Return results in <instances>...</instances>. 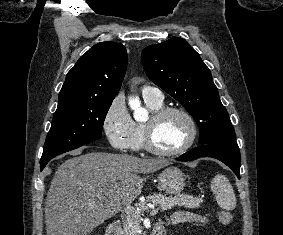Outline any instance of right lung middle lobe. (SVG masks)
<instances>
[{
	"label": "right lung middle lobe",
	"mask_w": 283,
	"mask_h": 235,
	"mask_svg": "<svg viewBox=\"0 0 283 235\" xmlns=\"http://www.w3.org/2000/svg\"><path fill=\"white\" fill-rule=\"evenodd\" d=\"M112 100L70 99L58 103L41 162L78 145L100 139Z\"/></svg>",
	"instance_id": "dd1d6c3e"
}]
</instances>
